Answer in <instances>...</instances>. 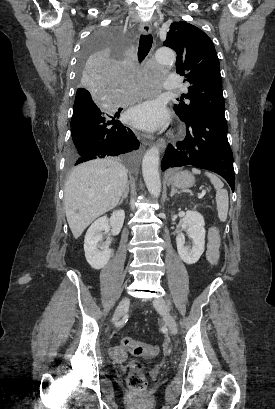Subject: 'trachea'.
Returning <instances> with one entry per match:
<instances>
[{"label":"trachea","instance_id":"trachea-1","mask_svg":"<svg viewBox=\"0 0 275 409\" xmlns=\"http://www.w3.org/2000/svg\"><path fill=\"white\" fill-rule=\"evenodd\" d=\"M153 43L152 35H141L138 48V60L142 62L149 53Z\"/></svg>","mask_w":275,"mask_h":409}]
</instances>
